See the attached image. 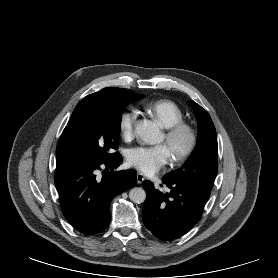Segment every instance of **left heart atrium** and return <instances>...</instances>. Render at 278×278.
Returning <instances> with one entry per match:
<instances>
[{
  "label": "left heart atrium",
  "mask_w": 278,
  "mask_h": 278,
  "mask_svg": "<svg viewBox=\"0 0 278 278\" xmlns=\"http://www.w3.org/2000/svg\"><path fill=\"white\" fill-rule=\"evenodd\" d=\"M169 159L170 154L164 145L136 147L127 155L128 164L146 175L157 173L168 163Z\"/></svg>",
  "instance_id": "obj_1"
}]
</instances>
